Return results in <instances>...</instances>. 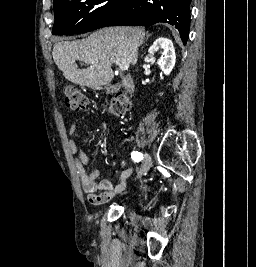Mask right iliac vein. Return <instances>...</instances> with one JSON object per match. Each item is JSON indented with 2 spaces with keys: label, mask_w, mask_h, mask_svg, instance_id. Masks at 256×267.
<instances>
[{
  "label": "right iliac vein",
  "mask_w": 256,
  "mask_h": 267,
  "mask_svg": "<svg viewBox=\"0 0 256 267\" xmlns=\"http://www.w3.org/2000/svg\"><path fill=\"white\" fill-rule=\"evenodd\" d=\"M151 164H152L151 156L146 153L144 155V161H143L142 167H141L137 177L140 178L143 175L144 172L148 171L149 168L151 167Z\"/></svg>",
  "instance_id": "63e3f726"
}]
</instances>
